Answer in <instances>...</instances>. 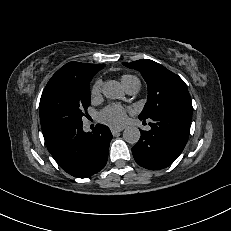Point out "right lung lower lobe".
Instances as JSON below:
<instances>
[{
  "mask_svg": "<svg viewBox=\"0 0 231 231\" xmlns=\"http://www.w3.org/2000/svg\"><path fill=\"white\" fill-rule=\"evenodd\" d=\"M112 134L98 124L85 133L82 123L59 131L46 138V146L59 166L74 177L86 178L104 168Z\"/></svg>",
  "mask_w": 231,
  "mask_h": 231,
  "instance_id": "98d812e1",
  "label": "right lung lower lobe"
}]
</instances>
